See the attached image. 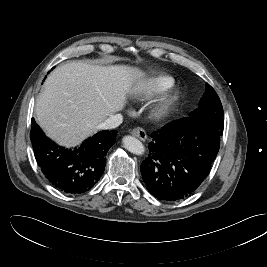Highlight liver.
Listing matches in <instances>:
<instances>
[{"mask_svg": "<svg viewBox=\"0 0 267 267\" xmlns=\"http://www.w3.org/2000/svg\"><path fill=\"white\" fill-rule=\"evenodd\" d=\"M143 75L128 66L61 65L47 77L37 98V121L60 145L76 146L124 108L127 95Z\"/></svg>", "mask_w": 267, "mask_h": 267, "instance_id": "liver-1", "label": "liver"}]
</instances>
